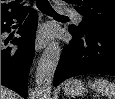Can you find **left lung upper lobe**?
<instances>
[{"label": "left lung upper lobe", "instance_id": "obj_1", "mask_svg": "<svg viewBox=\"0 0 115 99\" xmlns=\"http://www.w3.org/2000/svg\"><path fill=\"white\" fill-rule=\"evenodd\" d=\"M74 6L83 18L78 26L69 29L78 35L98 32L115 35V0H65Z\"/></svg>", "mask_w": 115, "mask_h": 99}]
</instances>
